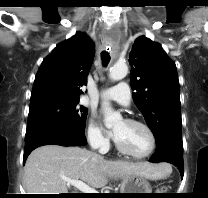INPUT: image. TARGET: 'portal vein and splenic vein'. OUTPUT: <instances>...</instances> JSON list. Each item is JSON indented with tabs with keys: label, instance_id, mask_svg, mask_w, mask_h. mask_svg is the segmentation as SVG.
Instances as JSON below:
<instances>
[{
	"label": "portal vein and splenic vein",
	"instance_id": "1",
	"mask_svg": "<svg viewBox=\"0 0 208 198\" xmlns=\"http://www.w3.org/2000/svg\"><path fill=\"white\" fill-rule=\"evenodd\" d=\"M63 180L67 183L68 186H74L77 189H79L82 193H98V191L88 186L81 180H73L69 178H63Z\"/></svg>",
	"mask_w": 208,
	"mask_h": 198
}]
</instances>
